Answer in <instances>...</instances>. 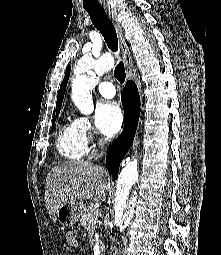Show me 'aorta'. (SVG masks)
Listing matches in <instances>:
<instances>
[{"label":"aorta","instance_id":"1","mask_svg":"<svg viewBox=\"0 0 221 255\" xmlns=\"http://www.w3.org/2000/svg\"><path fill=\"white\" fill-rule=\"evenodd\" d=\"M99 72L100 68L95 65L84 74L76 76L72 82V100L83 114H90L94 109L92 89L98 82ZM138 180L137 161L134 160L122 169L117 180L114 220L121 231L130 224L134 216Z\"/></svg>","mask_w":221,"mask_h":255}]
</instances>
